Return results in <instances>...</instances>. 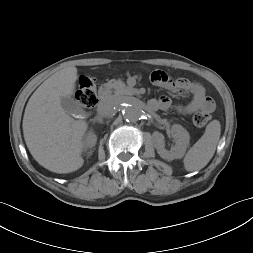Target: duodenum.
<instances>
[{
    "label": "duodenum",
    "mask_w": 253,
    "mask_h": 253,
    "mask_svg": "<svg viewBox=\"0 0 253 253\" xmlns=\"http://www.w3.org/2000/svg\"><path fill=\"white\" fill-rule=\"evenodd\" d=\"M110 85H111V83H108L100 88V90H99L100 99L103 100L107 97Z\"/></svg>",
    "instance_id": "obj_1"
}]
</instances>
